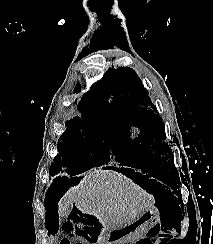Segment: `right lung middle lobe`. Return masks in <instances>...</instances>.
Returning a JSON list of instances; mask_svg holds the SVG:
<instances>
[{
    "instance_id": "dd1d6c3e",
    "label": "right lung middle lobe",
    "mask_w": 213,
    "mask_h": 244,
    "mask_svg": "<svg viewBox=\"0 0 213 244\" xmlns=\"http://www.w3.org/2000/svg\"><path fill=\"white\" fill-rule=\"evenodd\" d=\"M78 111L79 116L66 121V130L60 137L62 141L58 142L60 155L50 166L52 175L62 172L75 175L109 162L114 156L115 160L121 161L117 155L121 149L110 144L109 114Z\"/></svg>"
}]
</instances>
